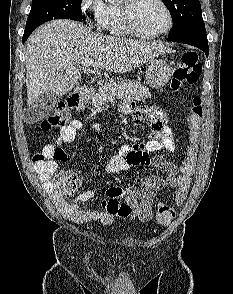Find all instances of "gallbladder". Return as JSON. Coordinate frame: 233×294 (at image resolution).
<instances>
[{
  "label": "gallbladder",
  "mask_w": 233,
  "mask_h": 294,
  "mask_svg": "<svg viewBox=\"0 0 233 294\" xmlns=\"http://www.w3.org/2000/svg\"><path fill=\"white\" fill-rule=\"evenodd\" d=\"M58 98L59 96L53 94L51 91L43 93L30 108L29 116L31 115L32 118L28 119L32 121H40L48 117L53 111Z\"/></svg>",
  "instance_id": "gallbladder-1"
}]
</instances>
